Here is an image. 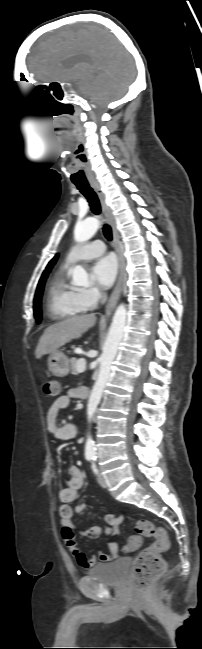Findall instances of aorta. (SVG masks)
Here are the masks:
<instances>
[{
	"label": "aorta",
	"mask_w": 202,
	"mask_h": 649,
	"mask_svg": "<svg viewBox=\"0 0 202 649\" xmlns=\"http://www.w3.org/2000/svg\"><path fill=\"white\" fill-rule=\"evenodd\" d=\"M99 227V221L96 218L89 217L83 221H79L74 229V239L77 242H85L93 237ZM89 280L87 271L80 265H77L72 270V281L75 285L86 284ZM126 307L120 304L113 315L112 323L109 329L108 336L103 346V352L99 358L100 368L98 377L95 381L91 391L88 404L87 416L88 421H92L97 406L101 400L105 385L109 379L112 362L116 356L118 347L123 338L125 324H126ZM86 454L95 453V443L90 435H88L85 445Z\"/></svg>",
	"instance_id": "aorta-1"
}]
</instances>
